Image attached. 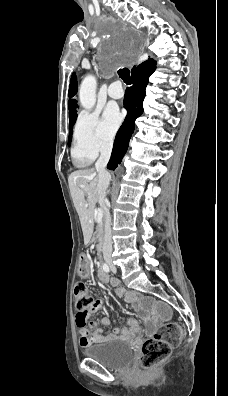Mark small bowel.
<instances>
[{
  "mask_svg": "<svg viewBox=\"0 0 228 396\" xmlns=\"http://www.w3.org/2000/svg\"><path fill=\"white\" fill-rule=\"evenodd\" d=\"M80 273L83 276L90 274V265L86 256L80 259ZM107 282L115 288V296L123 298L126 303L132 305L133 309L138 313L140 318L144 321L145 331L147 333L155 329L161 320L168 316V308L158 303L151 298L144 297L139 294L126 291L120 286L117 279H110ZM102 306L101 300H96L88 311L89 315L95 313ZM110 321L108 318H101L99 321L90 323L89 328H79V341L81 346H88L93 343H100L111 339L127 338L138 335L142 332L140 323L136 319H128L127 327L115 328L112 334H104V327H108Z\"/></svg>",
  "mask_w": 228,
  "mask_h": 396,
  "instance_id": "obj_1",
  "label": "small bowel"
}]
</instances>
